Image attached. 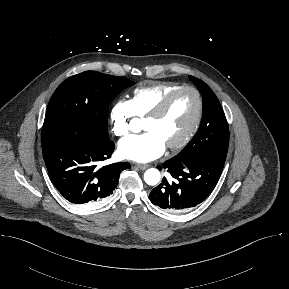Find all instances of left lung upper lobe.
<instances>
[{
    "mask_svg": "<svg viewBox=\"0 0 289 289\" xmlns=\"http://www.w3.org/2000/svg\"><path fill=\"white\" fill-rule=\"evenodd\" d=\"M189 79L198 87L203 97V115L199 130L185 148L175 157L185 160L203 152L227 153L229 128L223 109L214 92L202 80L193 76Z\"/></svg>",
    "mask_w": 289,
    "mask_h": 289,
    "instance_id": "left-lung-upper-lobe-1",
    "label": "left lung upper lobe"
}]
</instances>
